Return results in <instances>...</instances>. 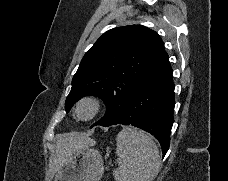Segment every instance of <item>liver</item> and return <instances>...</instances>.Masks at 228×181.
Wrapping results in <instances>:
<instances>
[{
  "instance_id": "obj_1",
  "label": "liver",
  "mask_w": 228,
  "mask_h": 181,
  "mask_svg": "<svg viewBox=\"0 0 228 181\" xmlns=\"http://www.w3.org/2000/svg\"><path fill=\"white\" fill-rule=\"evenodd\" d=\"M95 141L90 139L89 135H81V133H67V135H60L58 141H56V153L50 159V173L51 177L59 171L61 167H64L66 163H69L71 153L78 147H93Z\"/></svg>"
}]
</instances>
